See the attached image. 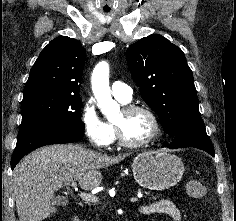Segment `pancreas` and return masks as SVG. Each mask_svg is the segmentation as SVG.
<instances>
[{"label":"pancreas","instance_id":"1","mask_svg":"<svg viewBox=\"0 0 236 221\" xmlns=\"http://www.w3.org/2000/svg\"><path fill=\"white\" fill-rule=\"evenodd\" d=\"M139 192H141V190H139ZM147 194H150V193H147ZM152 198H153L154 200H156V197L153 196V195H152Z\"/></svg>","mask_w":236,"mask_h":221}]
</instances>
